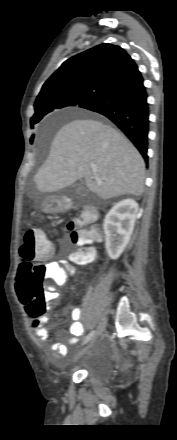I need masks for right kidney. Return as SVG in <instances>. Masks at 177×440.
Instances as JSON below:
<instances>
[{
    "label": "right kidney",
    "mask_w": 177,
    "mask_h": 440,
    "mask_svg": "<svg viewBox=\"0 0 177 440\" xmlns=\"http://www.w3.org/2000/svg\"><path fill=\"white\" fill-rule=\"evenodd\" d=\"M139 207L135 200L116 203L104 219L105 247L109 257L116 260L123 253L132 235Z\"/></svg>",
    "instance_id": "obj_1"
}]
</instances>
